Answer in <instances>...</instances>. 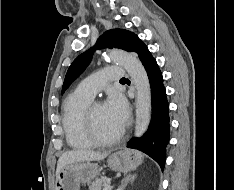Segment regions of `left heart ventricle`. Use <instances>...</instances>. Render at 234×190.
Listing matches in <instances>:
<instances>
[{
	"mask_svg": "<svg viewBox=\"0 0 234 190\" xmlns=\"http://www.w3.org/2000/svg\"><path fill=\"white\" fill-rule=\"evenodd\" d=\"M93 116L97 131L101 136L110 137L122 128L112 119L104 104L95 107Z\"/></svg>",
	"mask_w": 234,
	"mask_h": 190,
	"instance_id": "b2bd125f",
	"label": "left heart ventricle"
}]
</instances>
